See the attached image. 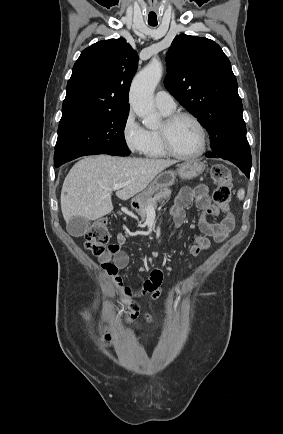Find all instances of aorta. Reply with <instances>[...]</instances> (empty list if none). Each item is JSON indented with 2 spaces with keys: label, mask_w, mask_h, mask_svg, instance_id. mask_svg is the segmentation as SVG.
<instances>
[{
  "label": "aorta",
  "mask_w": 283,
  "mask_h": 434,
  "mask_svg": "<svg viewBox=\"0 0 283 434\" xmlns=\"http://www.w3.org/2000/svg\"><path fill=\"white\" fill-rule=\"evenodd\" d=\"M162 64L153 59L133 79L129 103L133 111L142 119L147 128H156L160 124V116L155 110L153 94L162 77Z\"/></svg>",
  "instance_id": "762f6f07"
}]
</instances>
